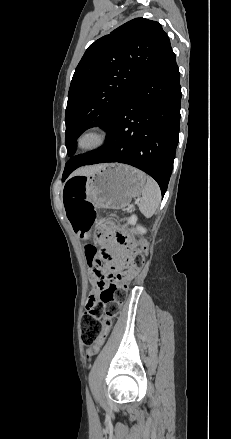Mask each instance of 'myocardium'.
Masks as SVG:
<instances>
[{
    "mask_svg": "<svg viewBox=\"0 0 231 439\" xmlns=\"http://www.w3.org/2000/svg\"><path fill=\"white\" fill-rule=\"evenodd\" d=\"M109 131L101 125H90L83 128L75 140L76 148L84 153L102 149L109 142Z\"/></svg>",
    "mask_w": 231,
    "mask_h": 439,
    "instance_id": "1",
    "label": "myocardium"
}]
</instances>
